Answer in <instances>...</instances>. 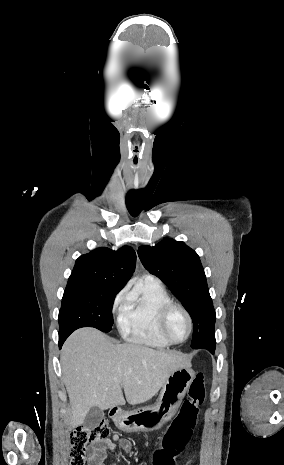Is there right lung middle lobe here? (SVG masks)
<instances>
[{
	"mask_svg": "<svg viewBox=\"0 0 284 465\" xmlns=\"http://www.w3.org/2000/svg\"><path fill=\"white\" fill-rule=\"evenodd\" d=\"M118 289L89 281H68L59 311V335L81 327L109 332L112 306Z\"/></svg>",
	"mask_w": 284,
	"mask_h": 465,
	"instance_id": "right-lung-middle-lobe-1",
	"label": "right lung middle lobe"
}]
</instances>
